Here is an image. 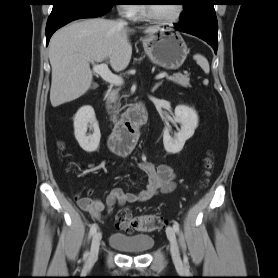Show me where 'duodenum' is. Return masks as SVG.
Listing matches in <instances>:
<instances>
[{
	"label": "duodenum",
	"mask_w": 278,
	"mask_h": 278,
	"mask_svg": "<svg viewBox=\"0 0 278 278\" xmlns=\"http://www.w3.org/2000/svg\"><path fill=\"white\" fill-rule=\"evenodd\" d=\"M147 119V111L143 104L135 105L127 110L109 136L110 149L118 155L127 154L130 146L137 141L140 128L147 122Z\"/></svg>",
	"instance_id": "410a0bca"
}]
</instances>
